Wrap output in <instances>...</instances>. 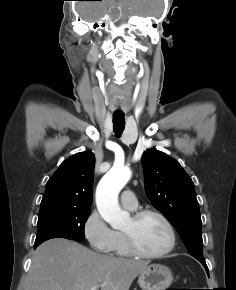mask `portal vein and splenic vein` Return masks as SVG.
I'll use <instances>...</instances> for the list:
<instances>
[{
	"label": "portal vein and splenic vein",
	"mask_w": 236,
	"mask_h": 290,
	"mask_svg": "<svg viewBox=\"0 0 236 290\" xmlns=\"http://www.w3.org/2000/svg\"><path fill=\"white\" fill-rule=\"evenodd\" d=\"M102 285L103 284H101V285H95V286L91 287L90 290H98Z\"/></svg>",
	"instance_id": "1"
}]
</instances>
